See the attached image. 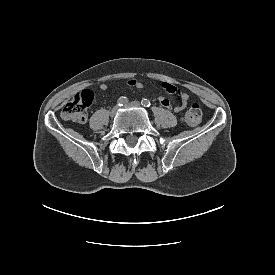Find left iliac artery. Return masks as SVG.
Listing matches in <instances>:
<instances>
[{"instance_id":"1","label":"left iliac artery","mask_w":275,"mask_h":275,"mask_svg":"<svg viewBox=\"0 0 275 275\" xmlns=\"http://www.w3.org/2000/svg\"><path fill=\"white\" fill-rule=\"evenodd\" d=\"M141 103L144 107H149L151 105L150 101L147 99H143Z\"/></svg>"}]
</instances>
